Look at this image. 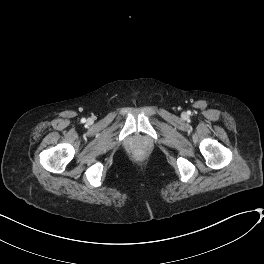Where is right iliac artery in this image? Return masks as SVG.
Returning <instances> with one entry per match:
<instances>
[{"label": "right iliac artery", "instance_id": "obj_1", "mask_svg": "<svg viewBox=\"0 0 264 264\" xmlns=\"http://www.w3.org/2000/svg\"><path fill=\"white\" fill-rule=\"evenodd\" d=\"M82 121H83V122H85V121H86V119H84V118H83V119H82Z\"/></svg>", "mask_w": 264, "mask_h": 264}]
</instances>
